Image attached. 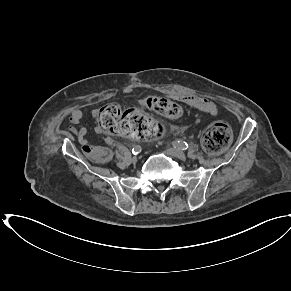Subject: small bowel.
I'll list each match as a JSON object with an SVG mask.
<instances>
[{"label": "small bowel", "mask_w": 291, "mask_h": 291, "mask_svg": "<svg viewBox=\"0 0 291 291\" xmlns=\"http://www.w3.org/2000/svg\"><path fill=\"white\" fill-rule=\"evenodd\" d=\"M180 100L187 106L200 112L206 113L212 117L218 115V108L216 104L205 97H200L196 95H183L180 97ZM95 113H96L95 111L92 112L93 115H95ZM83 118H84L83 111L79 109L74 110L69 117V122L71 124L69 130L77 136L78 142L81 145L85 146L88 144L87 140L88 130L85 127H78ZM95 131L99 133L100 129L96 128ZM105 142L107 144H112L113 139L110 137H106Z\"/></svg>", "instance_id": "1"}]
</instances>
